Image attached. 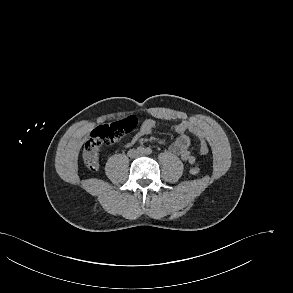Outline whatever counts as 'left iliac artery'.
Returning a JSON list of instances; mask_svg holds the SVG:
<instances>
[{
  "label": "left iliac artery",
  "instance_id": "left-iliac-artery-1",
  "mask_svg": "<svg viewBox=\"0 0 293 293\" xmlns=\"http://www.w3.org/2000/svg\"><path fill=\"white\" fill-rule=\"evenodd\" d=\"M145 153H146L147 155H150V154L152 153V149H151L150 147H147V148L145 149Z\"/></svg>",
  "mask_w": 293,
  "mask_h": 293
}]
</instances>
